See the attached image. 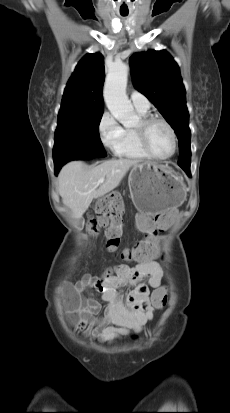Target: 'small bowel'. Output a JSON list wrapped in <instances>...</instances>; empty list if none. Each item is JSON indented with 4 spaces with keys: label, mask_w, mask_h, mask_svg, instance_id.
Returning a JSON list of instances; mask_svg holds the SVG:
<instances>
[{
    "label": "small bowel",
    "mask_w": 230,
    "mask_h": 413,
    "mask_svg": "<svg viewBox=\"0 0 230 413\" xmlns=\"http://www.w3.org/2000/svg\"><path fill=\"white\" fill-rule=\"evenodd\" d=\"M177 212V206H170L165 214L158 215L157 218L141 216L135 218L134 224L139 227V231H166L177 220ZM162 277V268L152 259L141 261L136 266L115 265L99 278L84 275L76 284L67 287L65 293L67 306L70 301L75 304L74 309H68L74 328L88 338L105 343L126 337L131 332L142 331L152 320L154 310L159 309L153 304L152 296L155 293L167 295V288L161 283ZM145 278H148V285L142 283ZM127 285L134 288L124 296L122 288ZM149 287L153 289L152 294ZM91 289L99 292L106 302L101 317L97 315L101 312L102 305L96 296H83Z\"/></svg>",
    "instance_id": "c3829d8e"
}]
</instances>
